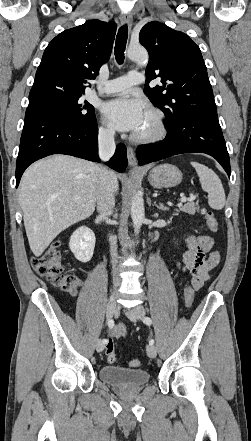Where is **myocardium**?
I'll use <instances>...</instances> for the list:
<instances>
[{
    "label": "myocardium",
    "mask_w": 251,
    "mask_h": 441,
    "mask_svg": "<svg viewBox=\"0 0 251 441\" xmlns=\"http://www.w3.org/2000/svg\"><path fill=\"white\" fill-rule=\"evenodd\" d=\"M148 113L152 116L154 121V130L147 135L134 134L132 139L141 144H151L161 141L167 134V126L165 122L164 114L157 108H149Z\"/></svg>",
    "instance_id": "1"
}]
</instances>
